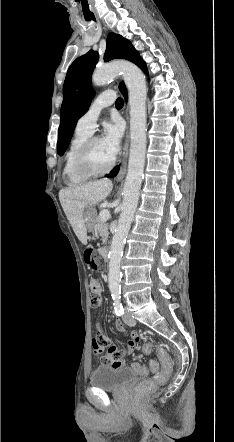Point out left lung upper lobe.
<instances>
[{
    "label": "left lung upper lobe",
    "mask_w": 234,
    "mask_h": 442,
    "mask_svg": "<svg viewBox=\"0 0 234 442\" xmlns=\"http://www.w3.org/2000/svg\"><path fill=\"white\" fill-rule=\"evenodd\" d=\"M99 55L90 50L77 58L69 67L63 87L61 121L58 130V154L63 155L72 138L78 119L90 106L94 92L90 86L92 72ZM126 59L138 67L144 62L130 41L119 34L109 33L104 60ZM124 85L120 83L119 88Z\"/></svg>",
    "instance_id": "obj_1"
}]
</instances>
